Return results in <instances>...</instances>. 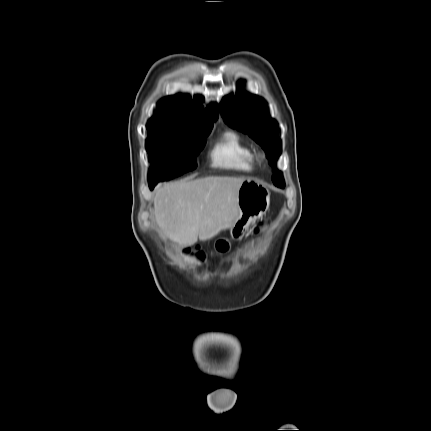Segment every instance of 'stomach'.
Here are the masks:
<instances>
[{
	"mask_svg": "<svg viewBox=\"0 0 431 431\" xmlns=\"http://www.w3.org/2000/svg\"><path fill=\"white\" fill-rule=\"evenodd\" d=\"M269 205L268 188L257 181L245 180L237 196L238 216L230 227L232 239L240 240L249 225L266 213ZM214 248L219 253H226L231 249V244L227 239H218L214 243Z\"/></svg>",
	"mask_w": 431,
	"mask_h": 431,
	"instance_id": "0dacf381",
	"label": "stomach"
}]
</instances>
